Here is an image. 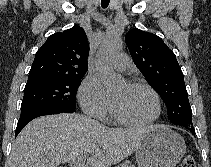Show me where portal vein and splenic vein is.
<instances>
[{"mask_svg":"<svg viewBox=\"0 0 211 167\" xmlns=\"http://www.w3.org/2000/svg\"><path fill=\"white\" fill-rule=\"evenodd\" d=\"M85 157H79L77 160L71 162L73 167H87L85 164Z\"/></svg>","mask_w":211,"mask_h":167,"instance_id":"18ae733b","label":"portal vein and splenic vein"}]
</instances>
